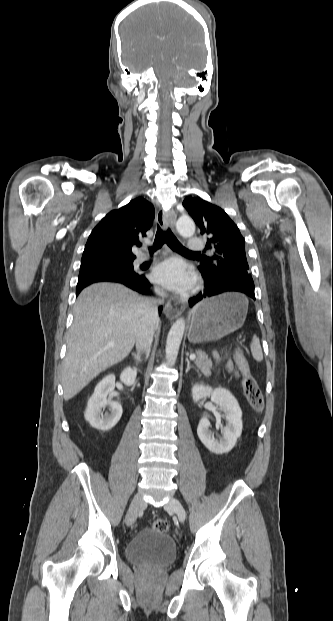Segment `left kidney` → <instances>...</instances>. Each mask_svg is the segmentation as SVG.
<instances>
[{
  "label": "left kidney",
  "instance_id": "1",
  "mask_svg": "<svg viewBox=\"0 0 333 621\" xmlns=\"http://www.w3.org/2000/svg\"><path fill=\"white\" fill-rule=\"evenodd\" d=\"M193 400L197 402L200 399L210 397L212 402L216 403L220 411L224 413L227 422L222 430L223 437L216 440L213 437L210 428V422L207 418H202L198 424L197 434L204 446L215 454L228 453L235 446L237 439L241 436L242 410L238 401L232 393L225 388H211L209 386L196 384L192 388Z\"/></svg>",
  "mask_w": 333,
  "mask_h": 621
}]
</instances>
